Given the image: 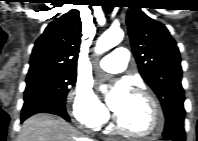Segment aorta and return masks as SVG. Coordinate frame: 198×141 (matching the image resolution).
<instances>
[{"instance_id":"aorta-1","label":"aorta","mask_w":198,"mask_h":141,"mask_svg":"<svg viewBox=\"0 0 198 141\" xmlns=\"http://www.w3.org/2000/svg\"><path fill=\"white\" fill-rule=\"evenodd\" d=\"M124 37V32L120 28H110L105 31L97 40L95 51L98 54L104 53L118 45Z\"/></svg>"}]
</instances>
